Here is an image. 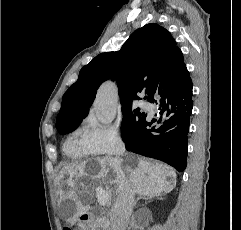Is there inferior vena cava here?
<instances>
[{"mask_svg":"<svg viewBox=\"0 0 241 230\" xmlns=\"http://www.w3.org/2000/svg\"><path fill=\"white\" fill-rule=\"evenodd\" d=\"M123 150L119 151V155ZM108 160L112 163L113 171L116 174V194L117 197L110 210L111 230H126L134 206V192L131 188L121 164L114 162L111 157Z\"/></svg>","mask_w":241,"mask_h":230,"instance_id":"inferior-vena-cava-1","label":"inferior vena cava"}]
</instances>
